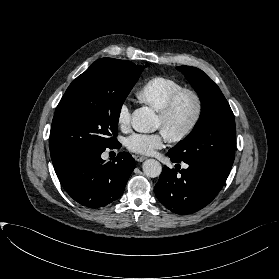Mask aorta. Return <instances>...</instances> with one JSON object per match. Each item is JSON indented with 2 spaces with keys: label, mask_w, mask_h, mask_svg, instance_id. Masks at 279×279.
I'll use <instances>...</instances> for the list:
<instances>
[{
  "label": "aorta",
  "mask_w": 279,
  "mask_h": 279,
  "mask_svg": "<svg viewBox=\"0 0 279 279\" xmlns=\"http://www.w3.org/2000/svg\"><path fill=\"white\" fill-rule=\"evenodd\" d=\"M132 127L141 133L154 132L158 127V119L154 111L149 107H141L132 113ZM143 172L147 177H158L162 172L161 164L155 159L144 161Z\"/></svg>",
  "instance_id": "obj_1"
}]
</instances>
